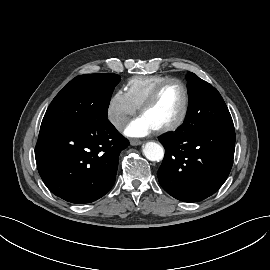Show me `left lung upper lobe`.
Listing matches in <instances>:
<instances>
[{
    "label": "left lung upper lobe",
    "instance_id": "obj_1",
    "mask_svg": "<svg viewBox=\"0 0 270 270\" xmlns=\"http://www.w3.org/2000/svg\"><path fill=\"white\" fill-rule=\"evenodd\" d=\"M186 79L189 115L187 114L185 120H189L190 124L195 126L206 128L234 126L223 98L211 84L192 72H188Z\"/></svg>",
    "mask_w": 270,
    "mask_h": 270
}]
</instances>
